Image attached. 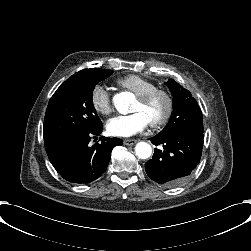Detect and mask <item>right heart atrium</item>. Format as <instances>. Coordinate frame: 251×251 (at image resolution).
Returning a JSON list of instances; mask_svg holds the SVG:
<instances>
[{
    "mask_svg": "<svg viewBox=\"0 0 251 251\" xmlns=\"http://www.w3.org/2000/svg\"><path fill=\"white\" fill-rule=\"evenodd\" d=\"M90 103L93 109L103 115L111 112V97L106 86L96 84L90 92Z\"/></svg>",
    "mask_w": 251,
    "mask_h": 251,
    "instance_id": "1",
    "label": "right heart atrium"
}]
</instances>
